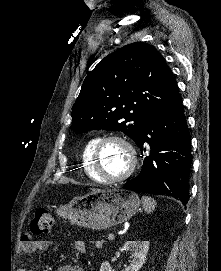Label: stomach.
<instances>
[{
  "label": "stomach",
  "mask_w": 221,
  "mask_h": 271,
  "mask_svg": "<svg viewBox=\"0 0 221 271\" xmlns=\"http://www.w3.org/2000/svg\"><path fill=\"white\" fill-rule=\"evenodd\" d=\"M141 201L139 195L130 189L114 187L109 191H93L84 197H76L72 202H64L58 213H67L72 223L90 227V229H107L118 225L135 215Z\"/></svg>",
  "instance_id": "1"
}]
</instances>
